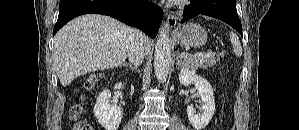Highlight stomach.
<instances>
[{"label":"stomach","mask_w":299,"mask_h":130,"mask_svg":"<svg viewBox=\"0 0 299 130\" xmlns=\"http://www.w3.org/2000/svg\"><path fill=\"white\" fill-rule=\"evenodd\" d=\"M174 38L181 46L200 48L206 43L208 34L201 25L186 23L174 32Z\"/></svg>","instance_id":"0dacf381"}]
</instances>
